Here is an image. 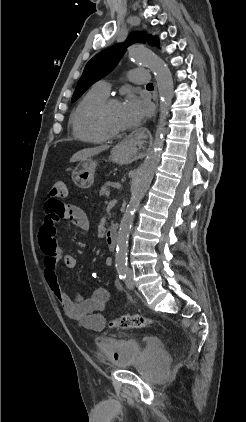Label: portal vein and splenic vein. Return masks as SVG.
<instances>
[{"label": "portal vein and splenic vein", "mask_w": 246, "mask_h": 422, "mask_svg": "<svg viewBox=\"0 0 246 422\" xmlns=\"http://www.w3.org/2000/svg\"><path fill=\"white\" fill-rule=\"evenodd\" d=\"M109 195H110V191H107L106 196L109 197Z\"/></svg>", "instance_id": "18ae733b"}]
</instances>
